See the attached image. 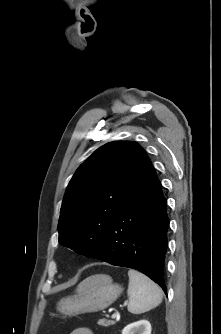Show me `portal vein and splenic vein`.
<instances>
[{"instance_id":"1","label":"portal vein and splenic vein","mask_w":221,"mask_h":334,"mask_svg":"<svg viewBox=\"0 0 221 334\" xmlns=\"http://www.w3.org/2000/svg\"><path fill=\"white\" fill-rule=\"evenodd\" d=\"M116 317H117V314H113V315L111 316L112 319H115Z\"/></svg>"}]
</instances>
